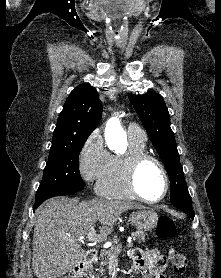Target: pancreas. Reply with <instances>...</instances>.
<instances>
[{
	"instance_id": "pancreas-1",
	"label": "pancreas",
	"mask_w": 221,
	"mask_h": 278,
	"mask_svg": "<svg viewBox=\"0 0 221 278\" xmlns=\"http://www.w3.org/2000/svg\"><path fill=\"white\" fill-rule=\"evenodd\" d=\"M146 236L147 234H145L144 232L132 233L133 239L137 240L139 244L145 241ZM113 240H114V244L108 250H103L100 254L102 260L100 263L101 267L99 269H96L95 271L93 270L92 266L88 267V273H89L88 278H106L107 273L106 270L103 268V266L108 265L111 255L117 256L122 250L121 244H118L116 242V237L113 238ZM130 246H132V244Z\"/></svg>"
}]
</instances>
